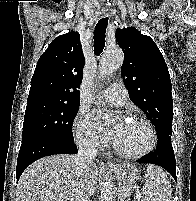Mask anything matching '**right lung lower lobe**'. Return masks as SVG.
Masks as SVG:
<instances>
[{"mask_svg": "<svg viewBox=\"0 0 196 201\" xmlns=\"http://www.w3.org/2000/svg\"><path fill=\"white\" fill-rule=\"evenodd\" d=\"M78 153L74 140L69 141L52 136H34L22 140L17 160V180L22 172L34 161L53 154Z\"/></svg>", "mask_w": 196, "mask_h": 201, "instance_id": "98d812e1", "label": "right lung lower lobe"}]
</instances>
